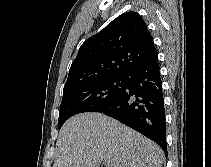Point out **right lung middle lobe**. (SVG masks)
<instances>
[{"mask_svg":"<svg viewBox=\"0 0 211 167\" xmlns=\"http://www.w3.org/2000/svg\"><path fill=\"white\" fill-rule=\"evenodd\" d=\"M126 86L124 76L95 78L63 90L58 125L59 129L71 116L95 112L113 101Z\"/></svg>","mask_w":211,"mask_h":167,"instance_id":"right-lung-middle-lobe-1","label":"right lung middle lobe"}]
</instances>
